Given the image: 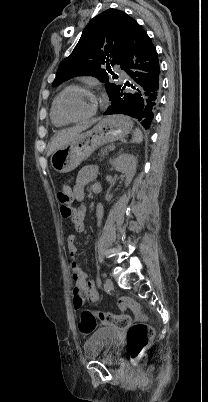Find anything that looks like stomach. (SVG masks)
Returning a JSON list of instances; mask_svg holds the SVG:
<instances>
[{
    "mask_svg": "<svg viewBox=\"0 0 208 402\" xmlns=\"http://www.w3.org/2000/svg\"><path fill=\"white\" fill-rule=\"evenodd\" d=\"M133 124L130 118L126 116H107L103 118L92 130L81 134L74 142L65 144L53 152L51 156V166L59 174L72 172L77 166H80L83 160H87L97 148L111 144L116 140H121L131 132Z\"/></svg>",
    "mask_w": 208,
    "mask_h": 402,
    "instance_id": "obj_1",
    "label": "stomach"
}]
</instances>
